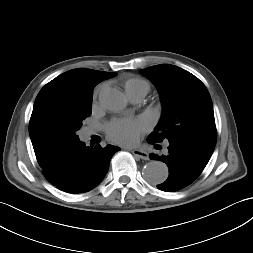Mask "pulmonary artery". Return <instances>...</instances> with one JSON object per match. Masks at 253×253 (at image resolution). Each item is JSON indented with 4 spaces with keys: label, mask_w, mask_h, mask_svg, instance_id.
<instances>
[{
    "label": "pulmonary artery",
    "mask_w": 253,
    "mask_h": 253,
    "mask_svg": "<svg viewBox=\"0 0 253 253\" xmlns=\"http://www.w3.org/2000/svg\"><path fill=\"white\" fill-rule=\"evenodd\" d=\"M147 92L145 90H136V91H132L127 93L128 98L134 102V103H138L140 101L143 100V98L146 96ZM85 135L86 136H90L94 133V131L92 129H86L85 130ZM166 145H168V143H166Z\"/></svg>",
    "instance_id": "obj_1"
}]
</instances>
